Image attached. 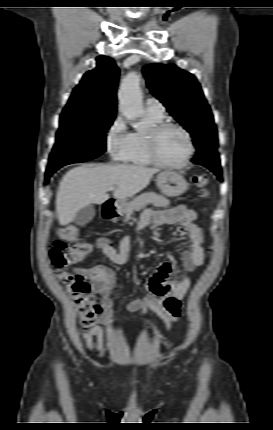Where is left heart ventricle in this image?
<instances>
[{"mask_svg":"<svg viewBox=\"0 0 273 430\" xmlns=\"http://www.w3.org/2000/svg\"><path fill=\"white\" fill-rule=\"evenodd\" d=\"M188 149L185 135L174 128L165 130L158 140L160 158L168 163H178L186 155Z\"/></svg>","mask_w":273,"mask_h":430,"instance_id":"1","label":"left heart ventricle"}]
</instances>
